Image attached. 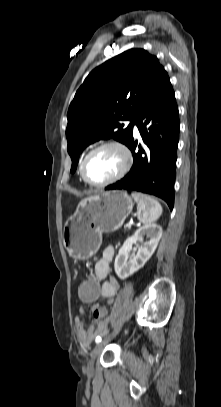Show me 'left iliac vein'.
I'll list each match as a JSON object with an SVG mask.
<instances>
[{
    "label": "left iliac vein",
    "mask_w": 221,
    "mask_h": 407,
    "mask_svg": "<svg viewBox=\"0 0 221 407\" xmlns=\"http://www.w3.org/2000/svg\"><path fill=\"white\" fill-rule=\"evenodd\" d=\"M118 333V331H116V333L114 335H116ZM113 335V336H114ZM110 340V337H108L105 341L103 342H98L96 344V346L94 347V349L91 352L90 355V361L88 363V367H87V374L88 376H92L93 372H94V361L96 359V357L101 353L103 347L105 346V344Z\"/></svg>",
    "instance_id": "4c4485c4"
}]
</instances>
